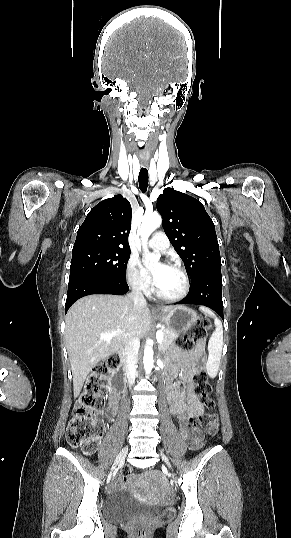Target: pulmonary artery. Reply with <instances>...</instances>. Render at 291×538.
I'll return each instance as SVG.
<instances>
[{
    "label": "pulmonary artery",
    "instance_id": "pulmonary-artery-1",
    "mask_svg": "<svg viewBox=\"0 0 291 538\" xmlns=\"http://www.w3.org/2000/svg\"><path fill=\"white\" fill-rule=\"evenodd\" d=\"M148 245L155 250L166 251L170 246V242L163 232H156L152 238L149 239Z\"/></svg>",
    "mask_w": 291,
    "mask_h": 538
}]
</instances>
